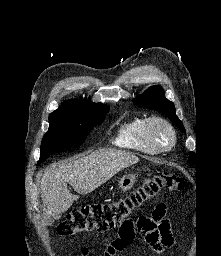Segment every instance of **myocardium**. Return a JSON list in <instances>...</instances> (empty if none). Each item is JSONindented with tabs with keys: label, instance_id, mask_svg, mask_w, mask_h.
I'll list each match as a JSON object with an SVG mask.
<instances>
[{
	"label": "myocardium",
	"instance_id": "myocardium-1",
	"mask_svg": "<svg viewBox=\"0 0 221 256\" xmlns=\"http://www.w3.org/2000/svg\"><path fill=\"white\" fill-rule=\"evenodd\" d=\"M162 125L166 127L171 134V142L166 146H161L157 143L154 137V127ZM144 135L147 142L156 152H164L170 150L176 143L177 135L173 125L166 119L159 116H152L146 119L144 127Z\"/></svg>",
	"mask_w": 221,
	"mask_h": 256
}]
</instances>
